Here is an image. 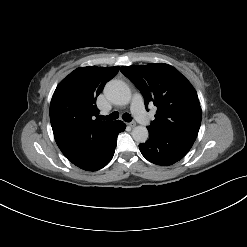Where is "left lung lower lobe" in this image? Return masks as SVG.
I'll return each mask as SVG.
<instances>
[{"label":"left lung lower lobe","instance_id":"left-lung-lower-lobe-1","mask_svg":"<svg viewBox=\"0 0 247 247\" xmlns=\"http://www.w3.org/2000/svg\"><path fill=\"white\" fill-rule=\"evenodd\" d=\"M149 139L139 145L142 155L157 165H172L182 159L193 146L192 141L159 135L149 131Z\"/></svg>","mask_w":247,"mask_h":247}]
</instances>
